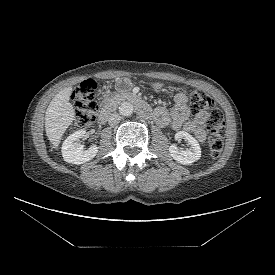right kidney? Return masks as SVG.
Wrapping results in <instances>:
<instances>
[{"instance_id":"obj_1","label":"right kidney","mask_w":275,"mask_h":275,"mask_svg":"<svg viewBox=\"0 0 275 275\" xmlns=\"http://www.w3.org/2000/svg\"><path fill=\"white\" fill-rule=\"evenodd\" d=\"M85 134L86 131L81 129L66 138L62 144V156L64 161L80 165L90 161L96 156L98 152V147L96 145L85 150L84 145L80 144V139H82Z\"/></svg>"}]
</instances>
